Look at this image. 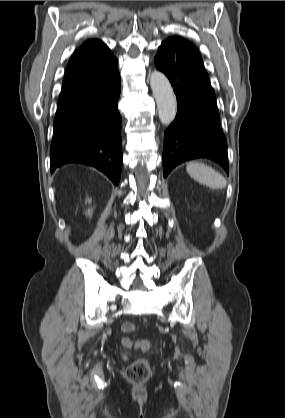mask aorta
<instances>
[{
    "label": "aorta",
    "instance_id": "aorta-1",
    "mask_svg": "<svg viewBox=\"0 0 285 418\" xmlns=\"http://www.w3.org/2000/svg\"><path fill=\"white\" fill-rule=\"evenodd\" d=\"M150 85L156 99L159 119L162 124L173 122L177 112L176 97L167 77L159 71L152 72Z\"/></svg>",
    "mask_w": 285,
    "mask_h": 418
}]
</instances>
